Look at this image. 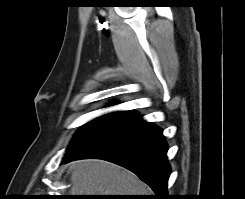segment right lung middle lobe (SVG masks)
Segmentation results:
<instances>
[{
  "label": "right lung middle lobe",
  "instance_id": "obj_1",
  "mask_svg": "<svg viewBox=\"0 0 245 199\" xmlns=\"http://www.w3.org/2000/svg\"><path fill=\"white\" fill-rule=\"evenodd\" d=\"M126 118L124 115L105 114L90 121L74 136L64 157L95 142Z\"/></svg>",
  "mask_w": 245,
  "mask_h": 199
}]
</instances>
